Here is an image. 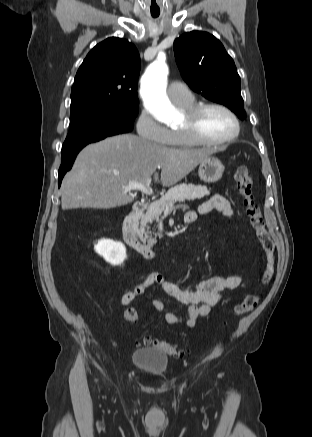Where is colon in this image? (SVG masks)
<instances>
[{"mask_svg":"<svg viewBox=\"0 0 312 437\" xmlns=\"http://www.w3.org/2000/svg\"><path fill=\"white\" fill-rule=\"evenodd\" d=\"M235 181L242 196L243 204L250 224L264 252V270L262 282L266 284L269 282L274 272L276 261L275 245L265 227L260 208L255 202L253 195V176L249 168L246 166H239L235 172ZM257 303L258 297L256 295L249 294L240 304L236 306L235 313L237 315H244L253 310ZM138 316V311L133 307H128L124 312V318L128 323H135L138 320ZM144 344L157 347L158 349L172 356H179L181 353L176 347L152 337H146L144 339Z\"/></svg>","mask_w":312,"mask_h":437,"instance_id":"5ec220e1","label":"colon"}]
</instances>
